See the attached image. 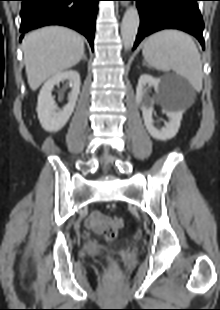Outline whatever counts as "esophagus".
Instances as JSON below:
<instances>
[{
  "mask_svg": "<svg viewBox=\"0 0 220 310\" xmlns=\"http://www.w3.org/2000/svg\"><path fill=\"white\" fill-rule=\"evenodd\" d=\"M126 5H127L126 3L123 4V6H126Z\"/></svg>",
  "mask_w": 220,
  "mask_h": 310,
  "instance_id": "1",
  "label": "esophagus"
}]
</instances>
